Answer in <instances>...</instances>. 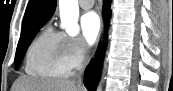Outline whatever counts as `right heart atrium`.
<instances>
[{"mask_svg": "<svg viewBox=\"0 0 173 91\" xmlns=\"http://www.w3.org/2000/svg\"><path fill=\"white\" fill-rule=\"evenodd\" d=\"M63 46L65 58L71 67H80L87 55V46L80 37L63 36Z\"/></svg>", "mask_w": 173, "mask_h": 91, "instance_id": "obj_1", "label": "right heart atrium"}]
</instances>
